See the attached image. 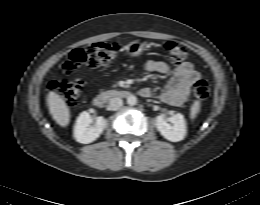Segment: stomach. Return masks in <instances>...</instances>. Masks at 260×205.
<instances>
[{"mask_svg": "<svg viewBox=\"0 0 260 205\" xmlns=\"http://www.w3.org/2000/svg\"><path fill=\"white\" fill-rule=\"evenodd\" d=\"M145 48L146 44L139 41H133L125 47L126 53L131 57H137L141 55Z\"/></svg>", "mask_w": 260, "mask_h": 205, "instance_id": "obj_1", "label": "stomach"}]
</instances>
